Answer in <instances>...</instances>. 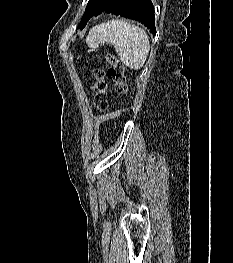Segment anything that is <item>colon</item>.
I'll use <instances>...</instances> for the list:
<instances>
[{"label":"colon","instance_id":"obj_1","mask_svg":"<svg viewBox=\"0 0 233 263\" xmlns=\"http://www.w3.org/2000/svg\"><path fill=\"white\" fill-rule=\"evenodd\" d=\"M105 58L109 64L107 71L104 72L101 69L93 70V77L95 80L93 83V103L96 109L100 111L108 107L107 86L104 80L105 76L114 83L115 90L121 97H127L128 95V85L123 64L113 54L107 53Z\"/></svg>","mask_w":233,"mask_h":263}]
</instances>
